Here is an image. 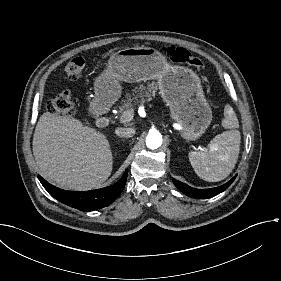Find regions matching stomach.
Instances as JSON below:
<instances>
[{
  "mask_svg": "<svg viewBox=\"0 0 281 281\" xmlns=\"http://www.w3.org/2000/svg\"><path fill=\"white\" fill-rule=\"evenodd\" d=\"M157 79L160 95L169 106L171 117L183 126L181 135L196 140L212 121L199 76L191 69L172 65L151 47L137 46L112 54L107 68L95 79V97L90 102L93 117L105 114L121 96L120 81L135 83Z\"/></svg>",
  "mask_w": 281,
  "mask_h": 281,
  "instance_id": "stomach-1",
  "label": "stomach"
}]
</instances>
